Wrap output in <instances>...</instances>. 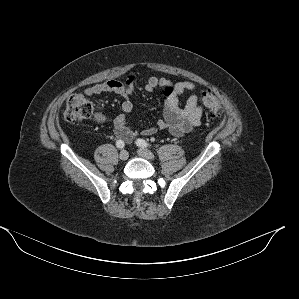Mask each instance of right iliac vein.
<instances>
[{
	"label": "right iliac vein",
	"mask_w": 299,
	"mask_h": 299,
	"mask_svg": "<svg viewBox=\"0 0 299 299\" xmlns=\"http://www.w3.org/2000/svg\"><path fill=\"white\" fill-rule=\"evenodd\" d=\"M129 157V154L126 150H122L119 154V158L122 160V161H125L127 160Z\"/></svg>",
	"instance_id": "63e3f726"
}]
</instances>
